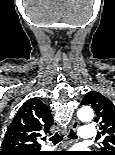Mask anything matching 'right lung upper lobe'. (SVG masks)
<instances>
[{
  "mask_svg": "<svg viewBox=\"0 0 115 155\" xmlns=\"http://www.w3.org/2000/svg\"><path fill=\"white\" fill-rule=\"evenodd\" d=\"M53 126L49 108L39 99L26 101L7 129L0 155H23L40 151L38 139Z\"/></svg>",
  "mask_w": 115,
  "mask_h": 155,
  "instance_id": "right-lung-upper-lobe-1",
  "label": "right lung upper lobe"
}]
</instances>
